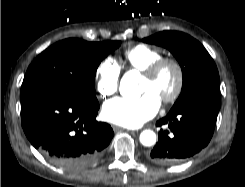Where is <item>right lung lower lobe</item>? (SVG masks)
<instances>
[{
	"mask_svg": "<svg viewBox=\"0 0 245 187\" xmlns=\"http://www.w3.org/2000/svg\"><path fill=\"white\" fill-rule=\"evenodd\" d=\"M99 103L61 92H39L21 99V124L31 144L68 171L97 163L114 132L96 121Z\"/></svg>",
	"mask_w": 245,
	"mask_h": 187,
	"instance_id": "1",
	"label": "right lung lower lobe"
}]
</instances>
